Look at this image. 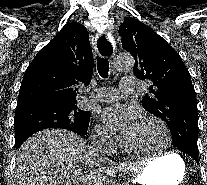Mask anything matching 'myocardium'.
I'll use <instances>...</instances> for the list:
<instances>
[{
	"instance_id": "myocardium-1",
	"label": "myocardium",
	"mask_w": 207,
	"mask_h": 185,
	"mask_svg": "<svg viewBox=\"0 0 207 185\" xmlns=\"http://www.w3.org/2000/svg\"><path fill=\"white\" fill-rule=\"evenodd\" d=\"M143 120L152 121L156 123L160 127L163 136L165 138V146H167L170 143L171 140L170 132L166 123L162 119L156 116H145ZM122 144L126 153L137 157L153 158V157L162 156L164 154L163 149L156 152H142V151L134 150L130 147L126 136L123 137Z\"/></svg>"
}]
</instances>
